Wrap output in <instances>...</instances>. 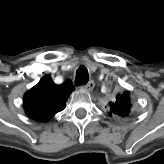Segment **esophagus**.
<instances>
[{
	"instance_id": "1",
	"label": "esophagus",
	"mask_w": 164,
	"mask_h": 164,
	"mask_svg": "<svg viewBox=\"0 0 164 164\" xmlns=\"http://www.w3.org/2000/svg\"><path fill=\"white\" fill-rule=\"evenodd\" d=\"M94 86H95V83H94V81L91 80L86 85L83 86V89L85 91H92Z\"/></svg>"
}]
</instances>
